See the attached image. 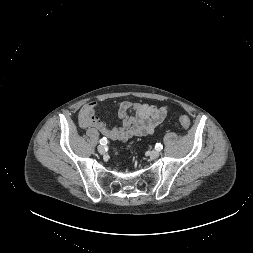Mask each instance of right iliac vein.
Returning a JSON list of instances; mask_svg holds the SVG:
<instances>
[{"label": "right iliac vein", "instance_id": "right-iliac-vein-1", "mask_svg": "<svg viewBox=\"0 0 253 253\" xmlns=\"http://www.w3.org/2000/svg\"><path fill=\"white\" fill-rule=\"evenodd\" d=\"M97 149H98V152H99L100 154H104V153H105V148H104V146L99 145Z\"/></svg>", "mask_w": 253, "mask_h": 253}]
</instances>
